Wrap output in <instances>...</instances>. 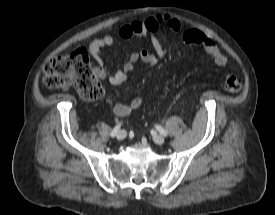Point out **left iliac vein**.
<instances>
[{
	"label": "left iliac vein",
	"mask_w": 275,
	"mask_h": 215,
	"mask_svg": "<svg viewBox=\"0 0 275 215\" xmlns=\"http://www.w3.org/2000/svg\"><path fill=\"white\" fill-rule=\"evenodd\" d=\"M153 141L158 144V145H162L165 142V139L163 136L160 135H154L153 136Z\"/></svg>",
	"instance_id": "4c4485c4"
}]
</instances>
